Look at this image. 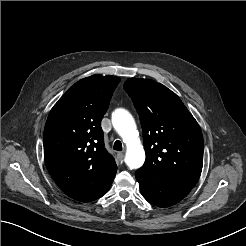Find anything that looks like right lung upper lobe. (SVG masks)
<instances>
[{
  "mask_svg": "<svg viewBox=\"0 0 246 246\" xmlns=\"http://www.w3.org/2000/svg\"><path fill=\"white\" fill-rule=\"evenodd\" d=\"M120 82L93 75L76 82L54 105L44 129L48 171L64 191L108 188L117 165L104 147L101 120Z\"/></svg>",
  "mask_w": 246,
  "mask_h": 246,
  "instance_id": "right-lung-upper-lobe-1",
  "label": "right lung upper lobe"
}]
</instances>
